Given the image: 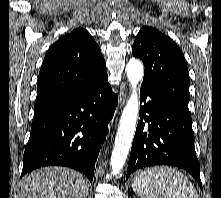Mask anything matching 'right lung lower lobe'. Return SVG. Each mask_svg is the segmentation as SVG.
Returning a JSON list of instances; mask_svg holds the SVG:
<instances>
[{
    "label": "right lung lower lobe",
    "mask_w": 221,
    "mask_h": 198,
    "mask_svg": "<svg viewBox=\"0 0 221 198\" xmlns=\"http://www.w3.org/2000/svg\"><path fill=\"white\" fill-rule=\"evenodd\" d=\"M117 100L107 77L34 116L21 177L40 167L58 165L76 169L92 182L95 163Z\"/></svg>",
    "instance_id": "98d812e1"
}]
</instances>
